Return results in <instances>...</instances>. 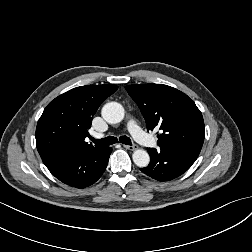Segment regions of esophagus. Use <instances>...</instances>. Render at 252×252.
<instances>
[{
	"label": "esophagus",
	"mask_w": 252,
	"mask_h": 252,
	"mask_svg": "<svg viewBox=\"0 0 252 252\" xmlns=\"http://www.w3.org/2000/svg\"><path fill=\"white\" fill-rule=\"evenodd\" d=\"M123 147L131 151L136 150L138 148L137 145H125V144L123 145Z\"/></svg>",
	"instance_id": "1"
}]
</instances>
